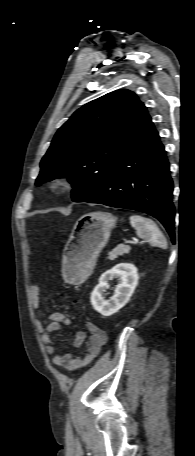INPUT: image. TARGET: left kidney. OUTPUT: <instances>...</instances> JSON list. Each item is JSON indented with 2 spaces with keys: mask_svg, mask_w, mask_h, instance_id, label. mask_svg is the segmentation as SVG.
<instances>
[{
  "mask_svg": "<svg viewBox=\"0 0 195 456\" xmlns=\"http://www.w3.org/2000/svg\"><path fill=\"white\" fill-rule=\"evenodd\" d=\"M116 278L118 285L110 300L105 299V292L109 289L108 282ZM137 268L130 263H119L106 271L99 278V284L91 293L93 308L105 317L111 316L124 307L132 296L138 284Z\"/></svg>",
  "mask_w": 195,
  "mask_h": 456,
  "instance_id": "1",
  "label": "left kidney"
}]
</instances>
